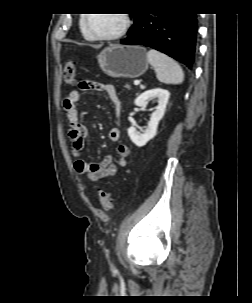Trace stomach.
I'll list each match as a JSON object with an SVG mask.
<instances>
[{"instance_id": "0dacf381", "label": "stomach", "mask_w": 252, "mask_h": 303, "mask_svg": "<svg viewBox=\"0 0 252 303\" xmlns=\"http://www.w3.org/2000/svg\"><path fill=\"white\" fill-rule=\"evenodd\" d=\"M97 58L102 71L113 78H137L149 67L146 50L141 46L113 45Z\"/></svg>"}]
</instances>
